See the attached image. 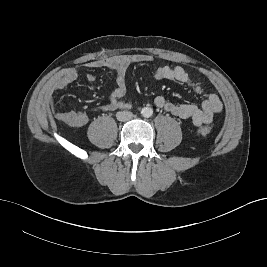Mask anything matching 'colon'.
<instances>
[{
    "mask_svg": "<svg viewBox=\"0 0 267 267\" xmlns=\"http://www.w3.org/2000/svg\"><path fill=\"white\" fill-rule=\"evenodd\" d=\"M198 133L200 135L206 136V135H209L211 133V129L209 127H206V126H202L198 129Z\"/></svg>",
    "mask_w": 267,
    "mask_h": 267,
    "instance_id": "colon-1",
    "label": "colon"
}]
</instances>
